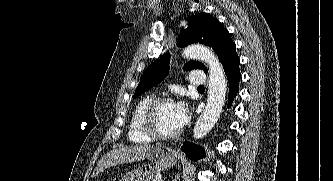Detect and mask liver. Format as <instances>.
<instances>
[{"label":"liver","instance_id":"6515ba94","mask_svg":"<svg viewBox=\"0 0 333 181\" xmlns=\"http://www.w3.org/2000/svg\"><path fill=\"white\" fill-rule=\"evenodd\" d=\"M160 149V147L148 145H135L116 148L101 158L95 170L93 171L92 177H96L103 170L116 165L141 161L145 160L146 158L150 159L152 153Z\"/></svg>","mask_w":333,"mask_h":181}]
</instances>
